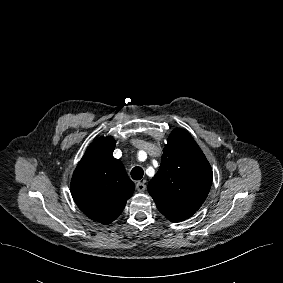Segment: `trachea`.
I'll return each mask as SVG.
<instances>
[{
	"label": "trachea",
	"mask_w": 283,
	"mask_h": 283,
	"mask_svg": "<svg viewBox=\"0 0 283 283\" xmlns=\"http://www.w3.org/2000/svg\"><path fill=\"white\" fill-rule=\"evenodd\" d=\"M143 175H144V171H143V169L141 167H134L131 170V177L134 180H141Z\"/></svg>",
	"instance_id": "trachea-1"
}]
</instances>
